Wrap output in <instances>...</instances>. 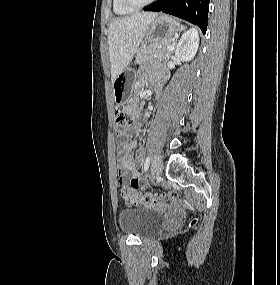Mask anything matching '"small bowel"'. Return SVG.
Listing matches in <instances>:
<instances>
[{"mask_svg": "<svg viewBox=\"0 0 280 285\" xmlns=\"http://www.w3.org/2000/svg\"><path fill=\"white\" fill-rule=\"evenodd\" d=\"M161 83L166 80L165 76H162ZM125 111L130 113L132 116L137 115V111L133 106H128ZM137 142L135 140H129L127 134H125L118 141V174L119 181L121 184H129L130 187L137 190L143 186L142 174L137 170L136 165L130 156V151L136 148Z\"/></svg>", "mask_w": 280, "mask_h": 285, "instance_id": "obj_1", "label": "small bowel"}]
</instances>
